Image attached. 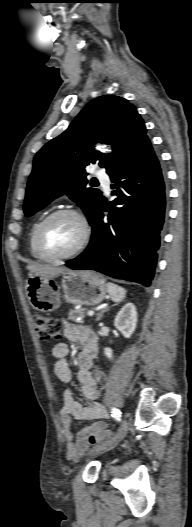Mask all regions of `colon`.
<instances>
[{
  "label": "colon",
  "mask_w": 192,
  "mask_h": 527,
  "mask_svg": "<svg viewBox=\"0 0 192 527\" xmlns=\"http://www.w3.org/2000/svg\"><path fill=\"white\" fill-rule=\"evenodd\" d=\"M34 326L37 337L40 341L50 343L58 339L62 334L61 323L54 318L45 315H36L34 317ZM93 378L98 386V389L103 388L105 384V375L102 371L96 370Z\"/></svg>",
  "instance_id": "colon-1"
}]
</instances>
